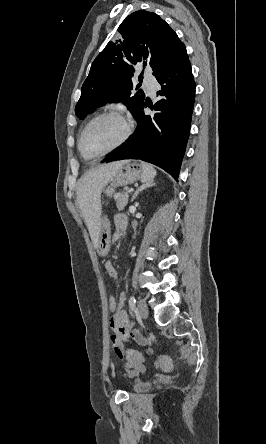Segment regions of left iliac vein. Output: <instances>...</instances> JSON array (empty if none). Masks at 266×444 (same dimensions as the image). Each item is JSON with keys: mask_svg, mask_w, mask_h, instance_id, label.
I'll use <instances>...</instances> for the list:
<instances>
[{"mask_svg": "<svg viewBox=\"0 0 266 444\" xmlns=\"http://www.w3.org/2000/svg\"><path fill=\"white\" fill-rule=\"evenodd\" d=\"M137 311H138V314L142 318H147V316H148V308H147L146 302L143 299H139L138 300Z\"/></svg>", "mask_w": 266, "mask_h": 444, "instance_id": "obj_1", "label": "left iliac vein"}]
</instances>
